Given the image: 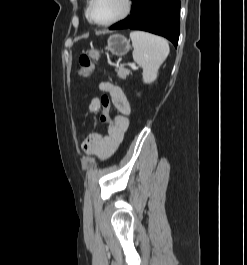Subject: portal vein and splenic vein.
Listing matches in <instances>:
<instances>
[{
    "label": "portal vein and splenic vein",
    "mask_w": 247,
    "mask_h": 265,
    "mask_svg": "<svg viewBox=\"0 0 247 265\" xmlns=\"http://www.w3.org/2000/svg\"><path fill=\"white\" fill-rule=\"evenodd\" d=\"M129 66H131L132 68L136 69V67L134 65L128 64Z\"/></svg>",
    "instance_id": "obj_1"
}]
</instances>
